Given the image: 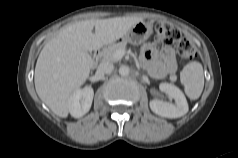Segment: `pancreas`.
Wrapping results in <instances>:
<instances>
[{"instance_id": "cf45deb5", "label": "pancreas", "mask_w": 238, "mask_h": 158, "mask_svg": "<svg viewBox=\"0 0 238 158\" xmlns=\"http://www.w3.org/2000/svg\"><path fill=\"white\" fill-rule=\"evenodd\" d=\"M126 45V42H121L103 49L102 57L104 61L117 62L119 59L115 57L116 52L118 50H125Z\"/></svg>"}]
</instances>
